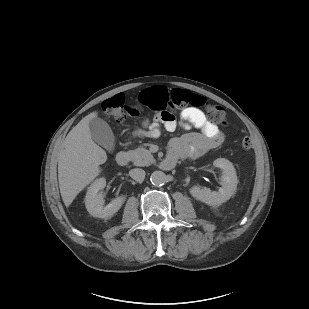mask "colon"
Instances as JSON below:
<instances>
[{
    "instance_id": "obj_1",
    "label": "colon",
    "mask_w": 309,
    "mask_h": 309,
    "mask_svg": "<svg viewBox=\"0 0 309 309\" xmlns=\"http://www.w3.org/2000/svg\"><path fill=\"white\" fill-rule=\"evenodd\" d=\"M141 105L147 106L157 113L158 120H166L170 117L169 110L195 107L205 108L210 118L223 126L228 125L225 110L217 105L210 104L202 95L192 93L183 89H168L165 86H155L145 90L137 105L125 103L122 94H116L102 103V110L116 122H123L128 117L136 116L140 113ZM241 147L244 150L252 148V139L244 136L241 139Z\"/></svg>"
}]
</instances>
